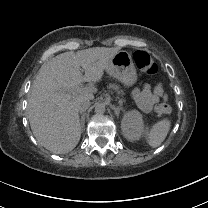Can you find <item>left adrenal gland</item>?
<instances>
[{
    "mask_svg": "<svg viewBox=\"0 0 208 208\" xmlns=\"http://www.w3.org/2000/svg\"><path fill=\"white\" fill-rule=\"evenodd\" d=\"M111 109L114 110L115 116L117 117V119L119 118L120 113L124 111V109L121 107V105L117 108L114 106H111Z\"/></svg>",
    "mask_w": 208,
    "mask_h": 208,
    "instance_id": "obj_1",
    "label": "left adrenal gland"
}]
</instances>
